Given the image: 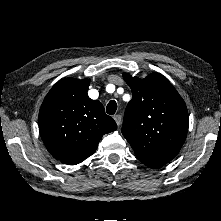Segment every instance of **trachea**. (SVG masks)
Listing matches in <instances>:
<instances>
[{
    "instance_id": "obj_1",
    "label": "trachea",
    "mask_w": 221,
    "mask_h": 221,
    "mask_svg": "<svg viewBox=\"0 0 221 221\" xmlns=\"http://www.w3.org/2000/svg\"><path fill=\"white\" fill-rule=\"evenodd\" d=\"M116 110H117V103L114 100H111L106 107V112L110 115H113L115 114Z\"/></svg>"
}]
</instances>
